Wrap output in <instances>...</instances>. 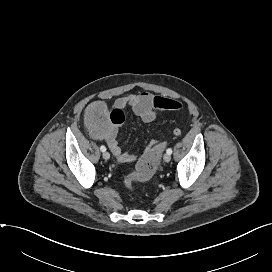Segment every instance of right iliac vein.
Wrapping results in <instances>:
<instances>
[{
	"instance_id": "63e3f726",
	"label": "right iliac vein",
	"mask_w": 272,
	"mask_h": 272,
	"mask_svg": "<svg viewBox=\"0 0 272 272\" xmlns=\"http://www.w3.org/2000/svg\"><path fill=\"white\" fill-rule=\"evenodd\" d=\"M102 156L105 160H108L110 158V154L107 151H105Z\"/></svg>"
}]
</instances>
